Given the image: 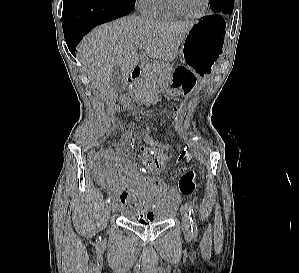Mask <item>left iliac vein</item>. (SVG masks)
<instances>
[{
  "mask_svg": "<svg viewBox=\"0 0 299 273\" xmlns=\"http://www.w3.org/2000/svg\"><path fill=\"white\" fill-rule=\"evenodd\" d=\"M182 227L186 236H191V223L189 213L186 207H181Z\"/></svg>",
  "mask_w": 299,
  "mask_h": 273,
  "instance_id": "obj_1",
  "label": "left iliac vein"
}]
</instances>
